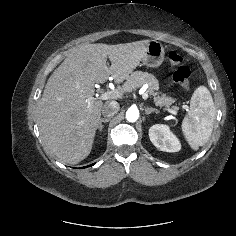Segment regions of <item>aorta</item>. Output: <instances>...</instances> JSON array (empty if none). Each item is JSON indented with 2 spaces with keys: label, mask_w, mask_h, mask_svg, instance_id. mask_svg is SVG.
Wrapping results in <instances>:
<instances>
[{
  "label": "aorta",
  "mask_w": 236,
  "mask_h": 236,
  "mask_svg": "<svg viewBox=\"0 0 236 236\" xmlns=\"http://www.w3.org/2000/svg\"><path fill=\"white\" fill-rule=\"evenodd\" d=\"M139 117V110L136 107H130L126 112V119L129 122H136Z\"/></svg>",
  "instance_id": "obj_1"
}]
</instances>
